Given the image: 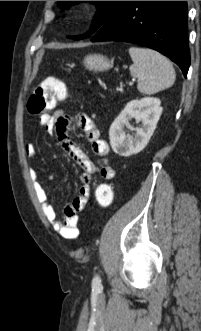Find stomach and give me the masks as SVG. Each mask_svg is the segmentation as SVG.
<instances>
[{
    "instance_id": "stomach-1",
    "label": "stomach",
    "mask_w": 201,
    "mask_h": 331,
    "mask_svg": "<svg viewBox=\"0 0 201 331\" xmlns=\"http://www.w3.org/2000/svg\"><path fill=\"white\" fill-rule=\"evenodd\" d=\"M84 65L89 70L105 71L112 67V62L103 55H88L84 59Z\"/></svg>"
}]
</instances>
